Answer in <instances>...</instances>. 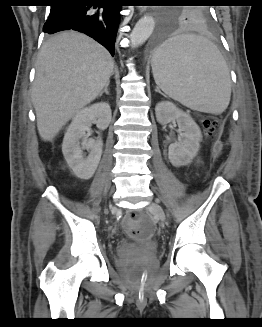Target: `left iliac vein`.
<instances>
[{
  "label": "left iliac vein",
  "mask_w": 262,
  "mask_h": 327,
  "mask_svg": "<svg viewBox=\"0 0 262 327\" xmlns=\"http://www.w3.org/2000/svg\"><path fill=\"white\" fill-rule=\"evenodd\" d=\"M149 210L153 212L160 221L165 222L166 221V215L163 210V208L156 202H151L149 205Z\"/></svg>",
  "instance_id": "4c4485c4"
}]
</instances>
